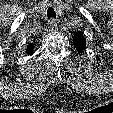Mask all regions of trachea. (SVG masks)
Wrapping results in <instances>:
<instances>
[{
	"label": "trachea",
	"mask_w": 113,
	"mask_h": 113,
	"mask_svg": "<svg viewBox=\"0 0 113 113\" xmlns=\"http://www.w3.org/2000/svg\"><path fill=\"white\" fill-rule=\"evenodd\" d=\"M47 16H48V19L50 18H56V13L54 11V9L52 7H49L48 10H47Z\"/></svg>",
	"instance_id": "obj_1"
}]
</instances>
